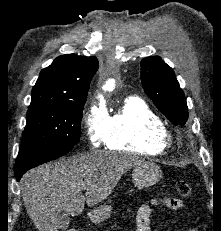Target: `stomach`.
Masks as SVG:
<instances>
[{
  "mask_svg": "<svg viewBox=\"0 0 221 231\" xmlns=\"http://www.w3.org/2000/svg\"><path fill=\"white\" fill-rule=\"evenodd\" d=\"M162 178V171L153 162L143 161L136 165L132 171V180L138 187H148L156 184ZM110 205H102L94 208L88 213L90 220L94 223H101L107 220L111 214Z\"/></svg>",
  "mask_w": 221,
  "mask_h": 231,
  "instance_id": "obj_1",
  "label": "stomach"
}]
</instances>
